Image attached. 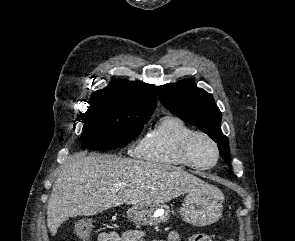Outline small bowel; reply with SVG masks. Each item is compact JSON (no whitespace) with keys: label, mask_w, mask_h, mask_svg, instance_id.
Returning <instances> with one entry per match:
<instances>
[{"label":"small bowel","mask_w":295,"mask_h":241,"mask_svg":"<svg viewBox=\"0 0 295 241\" xmlns=\"http://www.w3.org/2000/svg\"><path fill=\"white\" fill-rule=\"evenodd\" d=\"M98 241H146V233L142 230H129L118 235L115 232H103L99 235ZM164 241V240H156ZM166 241H211L207 235L196 234L189 238H182L176 231L168 234Z\"/></svg>","instance_id":"small-bowel-1"}]
</instances>
